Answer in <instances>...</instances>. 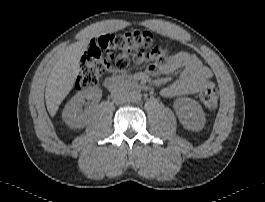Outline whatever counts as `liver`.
Returning a JSON list of instances; mask_svg holds the SVG:
<instances>
[{"label": "liver", "mask_w": 265, "mask_h": 202, "mask_svg": "<svg viewBox=\"0 0 265 202\" xmlns=\"http://www.w3.org/2000/svg\"><path fill=\"white\" fill-rule=\"evenodd\" d=\"M88 43V40L73 43L58 55L45 90L46 106L51 117L55 116L60 104L72 90L79 74L80 58Z\"/></svg>", "instance_id": "liver-1"}]
</instances>
